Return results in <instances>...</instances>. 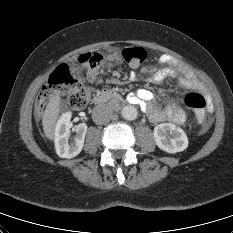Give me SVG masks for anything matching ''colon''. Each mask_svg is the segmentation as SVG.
I'll list each match as a JSON object with an SVG mask.
<instances>
[{"label":"colon","instance_id":"1","mask_svg":"<svg viewBox=\"0 0 233 233\" xmlns=\"http://www.w3.org/2000/svg\"><path fill=\"white\" fill-rule=\"evenodd\" d=\"M146 51L142 47H128L121 51L120 57L131 66H139L146 59ZM103 56L99 52L90 51L80 56V62L90 73H95L103 64ZM55 94L67 97L71 106L77 109L86 107L94 97V91L75 77L70 68L60 65L49 77L48 82L40 90L36 108L43 111L48 101ZM185 105L195 112L197 121L205 123L206 99L203 94L192 92L186 95Z\"/></svg>","mask_w":233,"mask_h":233}]
</instances>
